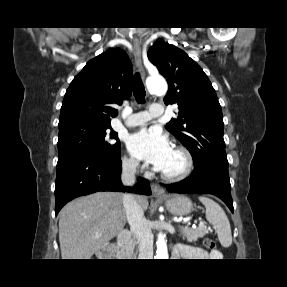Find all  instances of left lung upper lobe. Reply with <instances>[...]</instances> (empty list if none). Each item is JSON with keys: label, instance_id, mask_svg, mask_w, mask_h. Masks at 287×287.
I'll use <instances>...</instances> for the list:
<instances>
[{"label": "left lung upper lobe", "instance_id": "obj_1", "mask_svg": "<svg viewBox=\"0 0 287 287\" xmlns=\"http://www.w3.org/2000/svg\"><path fill=\"white\" fill-rule=\"evenodd\" d=\"M148 58L167 78L165 104L178 105V118H172L166 129L190 151L192 175L228 174L221 106L204 71L184 51L162 39L149 49Z\"/></svg>", "mask_w": 287, "mask_h": 287}]
</instances>
